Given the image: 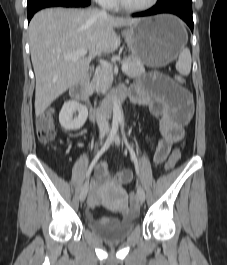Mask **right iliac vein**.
I'll return each instance as SVG.
<instances>
[{
    "instance_id": "right-iliac-vein-1",
    "label": "right iliac vein",
    "mask_w": 227,
    "mask_h": 265,
    "mask_svg": "<svg viewBox=\"0 0 227 265\" xmlns=\"http://www.w3.org/2000/svg\"><path fill=\"white\" fill-rule=\"evenodd\" d=\"M104 135L101 136V141L103 140ZM88 192V182H85V184L82 186L81 191H80V201L83 202L86 199Z\"/></svg>"
}]
</instances>
